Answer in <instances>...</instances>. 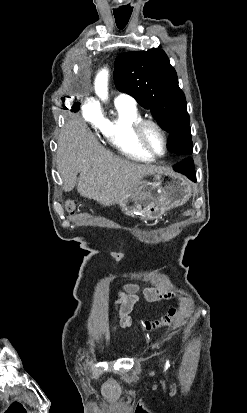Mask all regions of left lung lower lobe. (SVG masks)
<instances>
[{"label": "left lung lower lobe", "instance_id": "0a47b994", "mask_svg": "<svg viewBox=\"0 0 247 413\" xmlns=\"http://www.w3.org/2000/svg\"><path fill=\"white\" fill-rule=\"evenodd\" d=\"M173 169L186 175L190 180L196 181L195 168L193 159L189 156H184V159L173 166Z\"/></svg>", "mask_w": 247, "mask_h": 413}]
</instances>
